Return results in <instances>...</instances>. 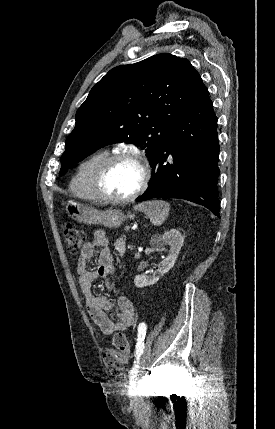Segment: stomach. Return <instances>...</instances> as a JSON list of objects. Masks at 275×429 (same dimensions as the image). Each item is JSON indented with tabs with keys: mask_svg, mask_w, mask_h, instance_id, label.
<instances>
[{
	"mask_svg": "<svg viewBox=\"0 0 275 429\" xmlns=\"http://www.w3.org/2000/svg\"><path fill=\"white\" fill-rule=\"evenodd\" d=\"M66 212L74 220L85 224H101L109 228H117L123 224L127 218H132V214L125 215L122 211L110 209L99 211L93 207L75 201H68Z\"/></svg>",
	"mask_w": 275,
	"mask_h": 429,
	"instance_id": "0dacf381",
	"label": "stomach"
}]
</instances>
